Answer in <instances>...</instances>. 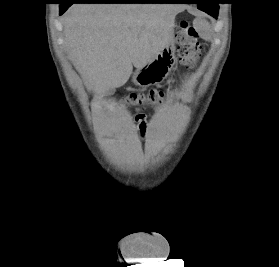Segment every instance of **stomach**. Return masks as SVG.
I'll return each mask as SVG.
<instances>
[{
	"label": "stomach",
	"instance_id": "0dacf381",
	"mask_svg": "<svg viewBox=\"0 0 279 267\" xmlns=\"http://www.w3.org/2000/svg\"><path fill=\"white\" fill-rule=\"evenodd\" d=\"M175 64V48L173 41L164 47L157 55L146 65L137 68L132 76V81L140 87H149L159 84L171 72Z\"/></svg>",
	"mask_w": 279,
	"mask_h": 267
}]
</instances>
